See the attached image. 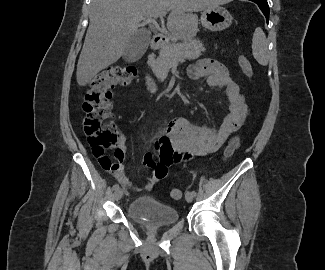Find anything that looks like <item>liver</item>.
<instances>
[{
	"instance_id": "1",
	"label": "liver",
	"mask_w": 325,
	"mask_h": 270,
	"mask_svg": "<svg viewBox=\"0 0 325 270\" xmlns=\"http://www.w3.org/2000/svg\"><path fill=\"white\" fill-rule=\"evenodd\" d=\"M229 0H92L89 27L77 64V83L88 84L114 64L138 31L137 17L166 15L167 29L180 40L193 38L198 17L193 12L218 7Z\"/></svg>"
}]
</instances>
